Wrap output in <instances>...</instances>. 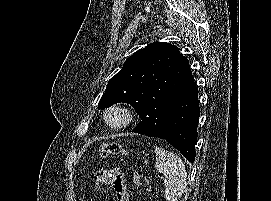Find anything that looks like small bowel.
Returning a JSON list of instances; mask_svg holds the SVG:
<instances>
[{
	"label": "small bowel",
	"instance_id": "obj_1",
	"mask_svg": "<svg viewBox=\"0 0 271 201\" xmlns=\"http://www.w3.org/2000/svg\"><path fill=\"white\" fill-rule=\"evenodd\" d=\"M95 186H111L115 194L114 201H128V191L123 172L119 168H100L92 175Z\"/></svg>",
	"mask_w": 271,
	"mask_h": 201
}]
</instances>
